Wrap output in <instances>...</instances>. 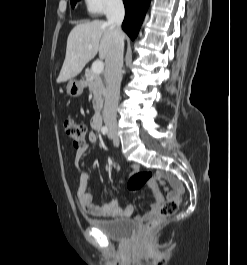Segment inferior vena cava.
I'll return each instance as SVG.
<instances>
[{"instance_id":"inferior-vena-cava-1","label":"inferior vena cava","mask_w":247,"mask_h":265,"mask_svg":"<svg viewBox=\"0 0 247 265\" xmlns=\"http://www.w3.org/2000/svg\"><path fill=\"white\" fill-rule=\"evenodd\" d=\"M124 5L122 0H112L108 6L106 17L114 28L113 42L105 57V75L107 81L103 118L106 126L117 125V106L122 80L124 34L121 24L124 19Z\"/></svg>"}]
</instances>
